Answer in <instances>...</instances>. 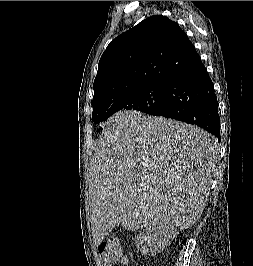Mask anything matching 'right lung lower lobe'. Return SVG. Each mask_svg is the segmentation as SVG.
I'll return each instance as SVG.
<instances>
[{
	"mask_svg": "<svg viewBox=\"0 0 253 266\" xmlns=\"http://www.w3.org/2000/svg\"><path fill=\"white\" fill-rule=\"evenodd\" d=\"M154 116L200 126L221 141L217 97L200 57L168 79L162 109Z\"/></svg>",
	"mask_w": 253,
	"mask_h": 266,
	"instance_id": "obj_1",
	"label": "right lung lower lobe"
}]
</instances>
